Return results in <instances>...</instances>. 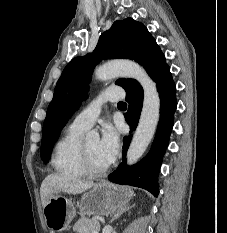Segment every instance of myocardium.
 <instances>
[{"instance_id":"f54148a6","label":"myocardium","mask_w":227,"mask_h":233,"mask_svg":"<svg viewBox=\"0 0 227 233\" xmlns=\"http://www.w3.org/2000/svg\"><path fill=\"white\" fill-rule=\"evenodd\" d=\"M80 155H81L82 167H83L84 171L86 172V174H88V175H92V176L104 175L109 171V169L111 167V164H108L102 168H98V167L94 166L93 163L91 162V159L88 155V152H87L84 144H82V146H81Z\"/></svg>"}]
</instances>
